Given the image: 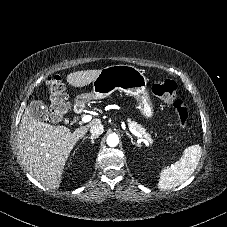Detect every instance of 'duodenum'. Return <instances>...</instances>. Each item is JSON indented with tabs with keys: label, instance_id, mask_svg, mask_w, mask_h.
<instances>
[{
	"label": "duodenum",
	"instance_id": "duodenum-1",
	"mask_svg": "<svg viewBox=\"0 0 227 227\" xmlns=\"http://www.w3.org/2000/svg\"><path fill=\"white\" fill-rule=\"evenodd\" d=\"M73 108H74V110L76 111V112H81V110H82V108H81V106L79 105V104H74L73 105Z\"/></svg>",
	"mask_w": 227,
	"mask_h": 227
}]
</instances>
